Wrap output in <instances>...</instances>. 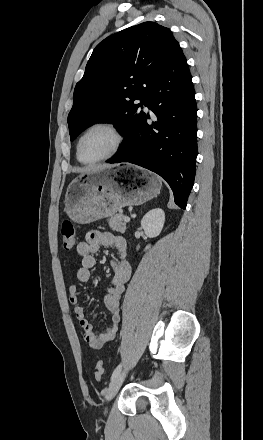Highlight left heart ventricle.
<instances>
[{
    "mask_svg": "<svg viewBox=\"0 0 263 440\" xmlns=\"http://www.w3.org/2000/svg\"><path fill=\"white\" fill-rule=\"evenodd\" d=\"M115 144L114 134L107 128H95L82 140L80 157L92 161L107 155Z\"/></svg>",
    "mask_w": 263,
    "mask_h": 440,
    "instance_id": "left-heart-ventricle-1",
    "label": "left heart ventricle"
}]
</instances>
